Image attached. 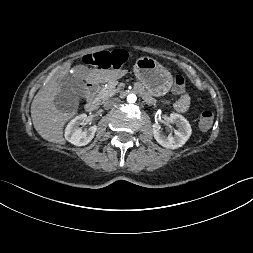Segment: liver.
Wrapping results in <instances>:
<instances>
[{
	"label": "liver",
	"instance_id": "6515ba94",
	"mask_svg": "<svg viewBox=\"0 0 253 253\" xmlns=\"http://www.w3.org/2000/svg\"><path fill=\"white\" fill-rule=\"evenodd\" d=\"M70 67L71 61H68L56 71L49 84L35 95L30 110L37 133L43 139L61 145L66 143L63 138L64 125L77 114V110L73 113L59 111L54 105V97L62 90L59 82L71 72ZM73 72L92 85L114 82L124 74L121 70L88 68L84 65L75 66Z\"/></svg>",
	"mask_w": 253,
	"mask_h": 253
}]
</instances>
